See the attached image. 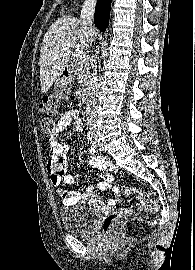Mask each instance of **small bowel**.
I'll use <instances>...</instances> for the list:
<instances>
[{
    "label": "small bowel",
    "instance_id": "1",
    "mask_svg": "<svg viewBox=\"0 0 195 270\" xmlns=\"http://www.w3.org/2000/svg\"><path fill=\"white\" fill-rule=\"evenodd\" d=\"M71 124L74 125L75 130L78 132L83 128L79 111L77 109H69L63 112L55 126L53 134L48 138L51 148V156L47 161L46 169L49 174L50 182L55 188H57V192L61 196L62 203L66 207L74 206L80 200L83 202L99 203L92 187L83 194H80L77 191L63 190L60 188L61 183L66 185H72L74 183V177L66 172V154L69 147L58 142L59 135ZM89 151L91 153L90 165L99 170L106 169L109 171V174L99 176L100 182L97 185L98 189L105 190L112 187L114 180L113 175L118 172L117 167L108 162L103 156L97 154L94 148L91 147ZM113 190L116 195L119 193L118 187L115 186ZM116 197L107 199L106 204L108 207H114L116 205Z\"/></svg>",
    "mask_w": 195,
    "mask_h": 270
}]
</instances>
